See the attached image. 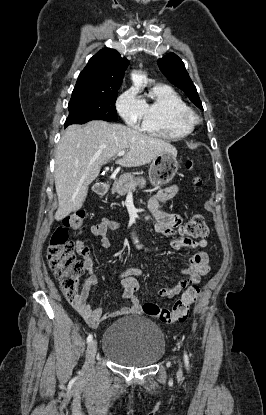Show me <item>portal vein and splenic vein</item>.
Listing matches in <instances>:
<instances>
[{"label":"portal vein and splenic vein","mask_w":266,"mask_h":415,"mask_svg":"<svg viewBox=\"0 0 266 415\" xmlns=\"http://www.w3.org/2000/svg\"><path fill=\"white\" fill-rule=\"evenodd\" d=\"M126 153V151H119L118 153H117V156H123L124 154Z\"/></svg>","instance_id":"18ae733b"}]
</instances>
